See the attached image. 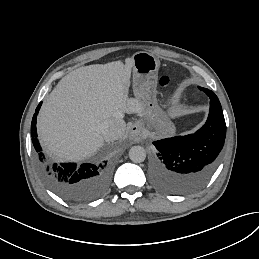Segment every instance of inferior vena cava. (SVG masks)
<instances>
[{
  "label": "inferior vena cava",
  "instance_id": "602c4592",
  "mask_svg": "<svg viewBox=\"0 0 259 259\" xmlns=\"http://www.w3.org/2000/svg\"><path fill=\"white\" fill-rule=\"evenodd\" d=\"M126 129V124L121 118H111L99 125V132L106 140L120 139Z\"/></svg>",
  "mask_w": 259,
  "mask_h": 259
}]
</instances>
